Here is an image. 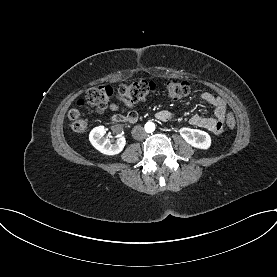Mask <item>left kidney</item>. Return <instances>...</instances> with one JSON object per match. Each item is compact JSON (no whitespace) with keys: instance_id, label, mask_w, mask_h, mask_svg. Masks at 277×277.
<instances>
[{"instance_id":"1","label":"left kidney","mask_w":277,"mask_h":277,"mask_svg":"<svg viewBox=\"0 0 277 277\" xmlns=\"http://www.w3.org/2000/svg\"><path fill=\"white\" fill-rule=\"evenodd\" d=\"M180 135L195 148L208 149L211 146V137L205 131L183 127L180 129Z\"/></svg>"}]
</instances>
